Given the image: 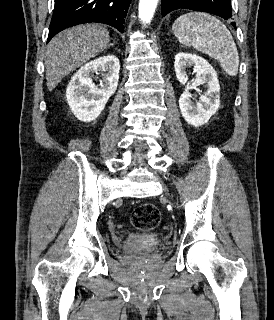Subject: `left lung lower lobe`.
Wrapping results in <instances>:
<instances>
[{"mask_svg":"<svg viewBox=\"0 0 274 320\" xmlns=\"http://www.w3.org/2000/svg\"><path fill=\"white\" fill-rule=\"evenodd\" d=\"M183 8L212 13L224 19H232L230 0H161V11L164 16L173 10ZM231 24L236 27L234 22Z\"/></svg>","mask_w":274,"mask_h":320,"instance_id":"left-lung-lower-lobe-1","label":"left lung lower lobe"}]
</instances>
